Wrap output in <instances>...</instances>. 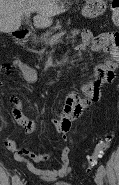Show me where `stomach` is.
I'll use <instances>...</instances> for the list:
<instances>
[{"label": "stomach", "instance_id": "1", "mask_svg": "<svg viewBox=\"0 0 119 185\" xmlns=\"http://www.w3.org/2000/svg\"><path fill=\"white\" fill-rule=\"evenodd\" d=\"M106 2L104 0H86L82 9V15L87 18H95L104 13Z\"/></svg>", "mask_w": 119, "mask_h": 185}]
</instances>
